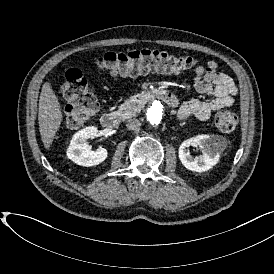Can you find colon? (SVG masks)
<instances>
[{
  "label": "colon",
  "instance_id": "obj_1",
  "mask_svg": "<svg viewBox=\"0 0 274 274\" xmlns=\"http://www.w3.org/2000/svg\"><path fill=\"white\" fill-rule=\"evenodd\" d=\"M96 64L116 75L127 76L151 71L180 73L195 67L197 60L157 49H131L126 52H106L97 58ZM61 88L68 103L64 119L68 126L78 127L87 114L97 111V94L80 69L68 68ZM215 125L222 133H231L238 125V118L234 112L223 110L217 114Z\"/></svg>",
  "mask_w": 274,
  "mask_h": 274
}]
</instances>
